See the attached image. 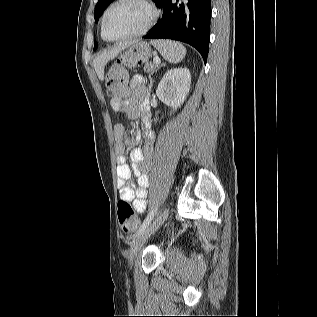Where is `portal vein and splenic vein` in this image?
<instances>
[{
    "mask_svg": "<svg viewBox=\"0 0 317 317\" xmlns=\"http://www.w3.org/2000/svg\"><path fill=\"white\" fill-rule=\"evenodd\" d=\"M153 61H154V63L157 64V65H159V64L161 63V60H160L159 57H154Z\"/></svg>",
    "mask_w": 317,
    "mask_h": 317,
    "instance_id": "18ae733b",
    "label": "portal vein and splenic vein"
}]
</instances>
